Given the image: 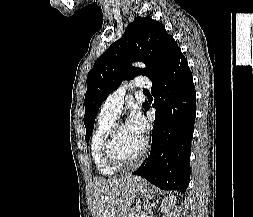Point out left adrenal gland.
I'll return each mask as SVG.
<instances>
[{
  "label": "left adrenal gland",
  "mask_w": 253,
  "mask_h": 217,
  "mask_svg": "<svg viewBox=\"0 0 253 217\" xmlns=\"http://www.w3.org/2000/svg\"><path fill=\"white\" fill-rule=\"evenodd\" d=\"M155 203H150L148 200H147V203L146 205L144 206V209L146 211V214H145V217H153V213H152V206H154Z\"/></svg>",
  "instance_id": "obj_1"
}]
</instances>
